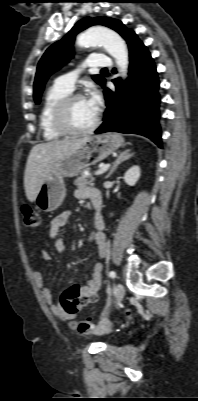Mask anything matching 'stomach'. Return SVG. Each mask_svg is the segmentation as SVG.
Instances as JSON below:
<instances>
[{"label": "stomach", "mask_w": 198, "mask_h": 401, "mask_svg": "<svg viewBox=\"0 0 198 401\" xmlns=\"http://www.w3.org/2000/svg\"><path fill=\"white\" fill-rule=\"evenodd\" d=\"M123 145L124 139L118 133L96 135L67 156L54 162L37 194L35 200L37 207L45 212L58 209L66 196L65 177L77 176L88 165L104 160Z\"/></svg>", "instance_id": "1"}]
</instances>
